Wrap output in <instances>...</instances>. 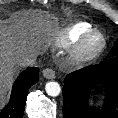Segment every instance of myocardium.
Wrapping results in <instances>:
<instances>
[{
    "label": "myocardium",
    "mask_w": 118,
    "mask_h": 118,
    "mask_svg": "<svg viewBox=\"0 0 118 118\" xmlns=\"http://www.w3.org/2000/svg\"><path fill=\"white\" fill-rule=\"evenodd\" d=\"M94 39H98L99 42L95 47H91L90 43ZM74 44L75 46L71 52L72 63L87 64L96 60L104 52L107 46V38L102 31L91 29Z\"/></svg>",
    "instance_id": "1"
}]
</instances>
